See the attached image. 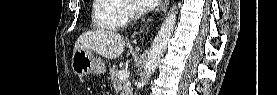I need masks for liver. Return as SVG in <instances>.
<instances>
[{
    "label": "liver",
    "instance_id": "6515ba94",
    "mask_svg": "<svg viewBox=\"0 0 277 95\" xmlns=\"http://www.w3.org/2000/svg\"><path fill=\"white\" fill-rule=\"evenodd\" d=\"M124 48L125 40L122 35L108 30H95L79 36L74 52L80 49L89 50L112 60L119 58Z\"/></svg>",
    "mask_w": 277,
    "mask_h": 95
}]
</instances>
